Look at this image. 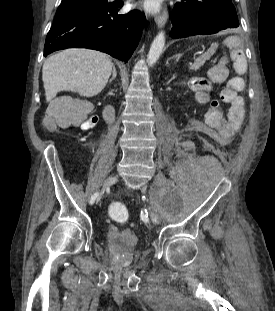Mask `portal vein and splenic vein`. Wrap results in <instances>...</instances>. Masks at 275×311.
<instances>
[{
	"mask_svg": "<svg viewBox=\"0 0 275 311\" xmlns=\"http://www.w3.org/2000/svg\"><path fill=\"white\" fill-rule=\"evenodd\" d=\"M213 53H214V51L212 49H210L208 52H206L204 55H202V57L200 59H198L197 62L195 63V65H196L195 68L202 66L204 64V62L207 59H209Z\"/></svg>",
	"mask_w": 275,
	"mask_h": 311,
	"instance_id": "18ae733b",
	"label": "portal vein and splenic vein"
}]
</instances>
